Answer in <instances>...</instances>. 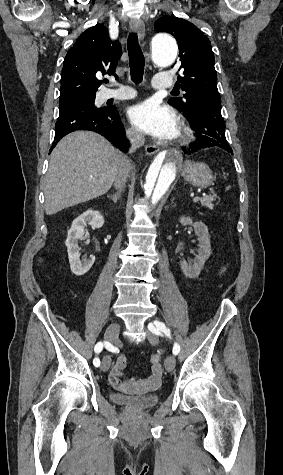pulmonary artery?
Listing matches in <instances>:
<instances>
[{
    "mask_svg": "<svg viewBox=\"0 0 283 475\" xmlns=\"http://www.w3.org/2000/svg\"><path fill=\"white\" fill-rule=\"evenodd\" d=\"M120 87H106L104 89V94L106 96H126L131 95L135 91L131 88H126V85L117 84ZM175 83L173 80H152L151 87L152 89H173ZM118 100H126L129 97H120Z\"/></svg>",
    "mask_w": 283,
    "mask_h": 475,
    "instance_id": "1",
    "label": "pulmonary artery"
}]
</instances>
